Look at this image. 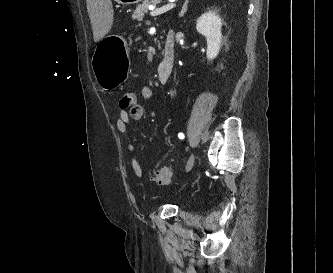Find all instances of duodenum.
<instances>
[{
  "label": "duodenum",
  "mask_w": 333,
  "mask_h": 273,
  "mask_svg": "<svg viewBox=\"0 0 333 273\" xmlns=\"http://www.w3.org/2000/svg\"><path fill=\"white\" fill-rule=\"evenodd\" d=\"M175 59V40L172 33H168L165 39L163 57L157 67L158 80L162 84H166L173 72Z\"/></svg>",
  "instance_id": "1"
}]
</instances>
